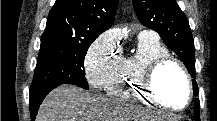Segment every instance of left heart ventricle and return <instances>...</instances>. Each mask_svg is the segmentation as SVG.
<instances>
[{"instance_id": "1", "label": "left heart ventricle", "mask_w": 217, "mask_h": 121, "mask_svg": "<svg viewBox=\"0 0 217 121\" xmlns=\"http://www.w3.org/2000/svg\"><path fill=\"white\" fill-rule=\"evenodd\" d=\"M155 86L158 95L168 105L182 107L188 97L185 78L174 65H167L156 75Z\"/></svg>"}]
</instances>
